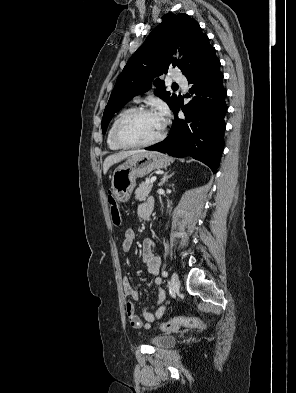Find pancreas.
Returning a JSON list of instances; mask_svg holds the SVG:
<instances>
[{
  "label": "pancreas",
  "mask_w": 296,
  "mask_h": 393,
  "mask_svg": "<svg viewBox=\"0 0 296 393\" xmlns=\"http://www.w3.org/2000/svg\"><path fill=\"white\" fill-rule=\"evenodd\" d=\"M152 189V183L147 179L139 184L135 191V199L137 201H145Z\"/></svg>",
  "instance_id": "pancreas-1"
}]
</instances>
